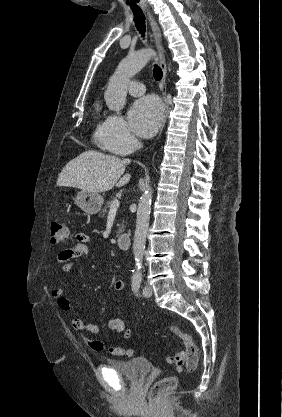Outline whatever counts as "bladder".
Here are the masks:
<instances>
[{"label": "bladder", "mask_w": 282, "mask_h": 417, "mask_svg": "<svg viewBox=\"0 0 282 417\" xmlns=\"http://www.w3.org/2000/svg\"><path fill=\"white\" fill-rule=\"evenodd\" d=\"M105 362L133 384H141L149 375L152 367L151 362L145 357L107 358Z\"/></svg>", "instance_id": "bladder-1"}]
</instances>
